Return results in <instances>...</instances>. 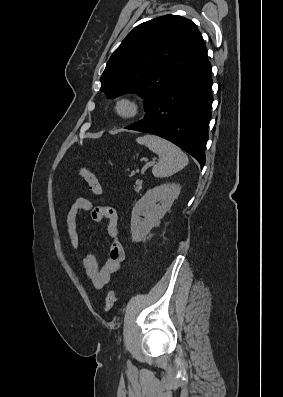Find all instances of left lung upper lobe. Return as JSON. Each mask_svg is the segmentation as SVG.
<instances>
[{
  "instance_id": "obj_1",
  "label": "left lung upper lobe",
  "mask_w": 283,
  "mask_h": 397,
  "mask_svg": "<svg viewBox=\"0 0 283 397\" xmlns=\"http://www.w3.org/2000/svg\"><path fill=\"white\" fill-rule=\"evenodd\" d=\"M207 60L196 25L165 15L135 27L111 55L101 76V90L114 98L136 92L147 111L167 90Z\"/></svg>"
}]
</instances>
